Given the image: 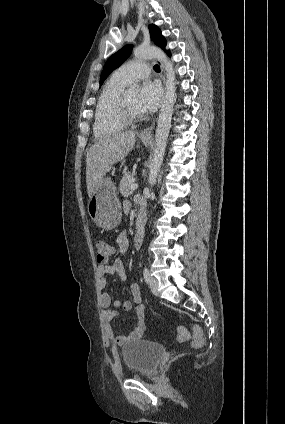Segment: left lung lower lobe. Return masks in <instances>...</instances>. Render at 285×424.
Here are the masks:
<instances>
[{"label":"left lung lower lobe","instance_id":"0a47b994","mask_svg":"<svg viewBox=\"0 0 285 424\" xmlns=\"http://www.w3.org/2000/svg\"><path fill=\"white\" fill-rule=\"evenodd\" d=\"M166 53L169 55V56H171V53H170V51H166Z\"/></svg>","mask_w":285,"mask_h":424}]
</instances>
